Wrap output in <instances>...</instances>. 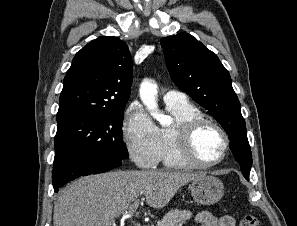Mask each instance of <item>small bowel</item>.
<instances>
[{
  "instance_id": "obj_1",
  "label": "small bowel",
  "mask_w": 297,
  "mask_h": 226,
  "mask_svg": "<svg viewBox=\"0 0 297 226\" xmlns=\"http://www.w3.org/2000/svg\"><path fill=\"white\" fill-rule=\"evenodd\" d=\"M199 226H235V220L231 216H214L208 211L198 212L194 219Z\"/></svg>"
}]
</instances>
